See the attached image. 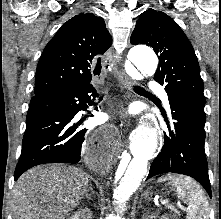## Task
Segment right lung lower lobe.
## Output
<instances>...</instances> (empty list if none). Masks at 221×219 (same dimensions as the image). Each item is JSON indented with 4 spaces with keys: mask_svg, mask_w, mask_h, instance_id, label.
Returning a JSON list of instances; mask_svg holds the SVG:
<instances>
[{
    "mask_svg": "<svg viewBox=\"0 0 221 219\" xmlns=\"http://www.w3.org/2000/svg\"><path fill=\"white\" fill-rule=\"evenodd\" d=\"M96 95L94 87L87 84L32 97L15 180L39 164L80 161L87 129L81 126L83 120L76 121V114L86 110V103ZM97 143L93 155L100 151Z\"/></svg>",
    "mask_w": 221,
    "mask_h": 219,
    "instance_id": "98d812e1",
    "label": "right lung lower lobe"
}]
</instances>
